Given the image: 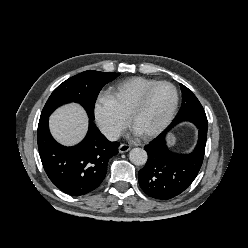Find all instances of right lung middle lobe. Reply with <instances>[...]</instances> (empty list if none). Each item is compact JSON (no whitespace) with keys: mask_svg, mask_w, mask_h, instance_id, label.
I'll list each match as a JSON object with an SVG mask.
<instances>
[{"mask_svg":"<svg viewBox=\"0 0 248 248\" xmlns=\"http://www.w3.org/2000/svg\"><path fill=\"white\" fill-rule=\"evenodd\" d=\"M119 73L85 71L61 83L47 100L40 119L49 117L59 106L68 102L80 103L89 119L94 120V104L102 87L114 80Z\"/></svg>","mask_w":248,"mask_h":248,"instance_id":"1","label":"right lung middle lobe"}]
</instances>
